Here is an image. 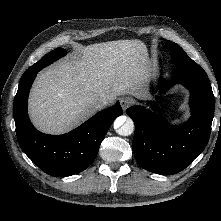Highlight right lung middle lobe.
<instances>
[{"mask_svg":"<svg viewBox=\"0 0 221 221\" xmlns=\"http://www.w3.org/2000/svg\"><path fill=\"white\" fill-rule=\"evenodd\" d=\"M66 53L67 52L61 48L55 49L51 51L50 53H48L47 55H45L44 57H42L41 60H39L34 65H32L30 68H28L24 74H27L29 71L33 70L34 68L40 67L42 69L46 67L47 65L53 63L55 60L59 59L60 57H63L64 55H66Z\"/></svg>","mask_w":221,"mask_h":221,"instance_id":"obj_1","label":"right lung middle lobe"}]
</instances>
